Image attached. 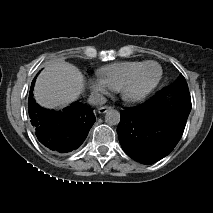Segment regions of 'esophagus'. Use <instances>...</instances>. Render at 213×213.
Instances as JSON below:
<instances>
[{
    "mask_svg": "<svg viewBox=\"0 0 213 213\" xmlns=\"http://www.w3.org/2000/svg\"><path fill=\"white\" fill-rule=\"evenodd\" d=\"M111 107L110 106H103V107H100L99 109H98V112L100 113V114H104L105 112H107V110H109Z\"/></svg>",
    "mask_w": 213,
    "mask_h": 213,
    "instance_id": "obj_1",
    "label": "esophagus"
}]
</instances>
